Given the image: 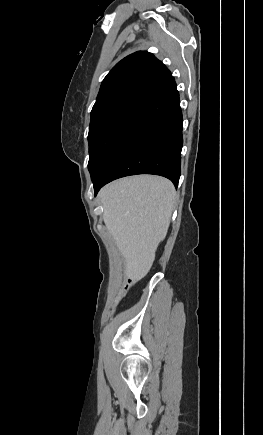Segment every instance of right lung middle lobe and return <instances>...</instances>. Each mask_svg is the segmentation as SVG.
<instances>
[{
  "mask_svg": "<svg viewBox=\"0 0 263 435\" xmlns=\"http://www.w3.org/2000/svg\"><path fill=\"white\" fill-rule=\"evenodd\" d=\"M142 106L136 102H118L100 106L91 113L88 169L92 179Z\"/></svg>",
  "mask_w": 263,
  "mask_h": 435,
  "instance_id": "dd1d6c3e",
  "label": "right lung middle lobe"
}]
</instances>
